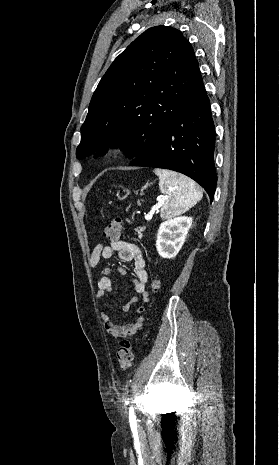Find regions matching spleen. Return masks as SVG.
Returning <instances> with one entry per match:
<instances>
[{
    "mask_svg": "<svg viewBox=\"0 0 279 465\" xmlns=\"http://www.w3.org/2000/svg\"><path fill=\"white\" fill-rule=\"evenodd\" d=\"M154 173L159 177L161 193L166 195L161 218L169 219L180 215L202 199V191L188 177L164 169H155Z\"/></svg>",
    "mask_w": 279,
    "mask_h": 465,
    "instance_id": "1",
    "label": "spleen"
}]
</instances>
